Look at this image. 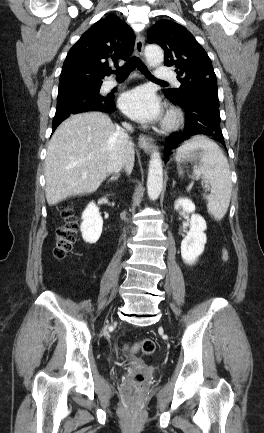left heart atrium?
I'll list each match as a JSON object with an SVG mask.
<instances>
[{
  "label": "left heart atrium",
  "mask_w": 264,
  "mask_h": 433,
  "mask_svg": "<svg viewBox=\"0 0 264 433\" xmlns=\"http://www.w3.org/2000/svg\"><path fill=\"white\" fill-rule=\"evenodd\" d=\"M119 106L130 118L149 122L159 118L161 105L153 91L147 87H138L124 93Z\"/></svg>",
  "instance_id": "obj_1"
}]
</instances>
